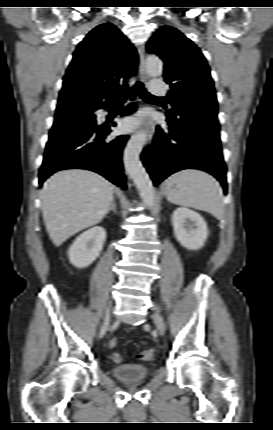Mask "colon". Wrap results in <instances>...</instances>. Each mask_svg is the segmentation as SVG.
Instances as JSON below:
<instances>
[{
    "instance_id": "5ec220e1",
    "label": "colon",
    "mask_w": 273,
    "mask_h": 430,
    "mask_svg": "<svg viewBox=\"0 0 273 430\" xmlns=\"http://www.w3.org/2000/svg\"><path fill=\"white\" fill-rule=\"evenodd\" d=\"M116 344H117V339H115V338H112L109 341V346L110 347H114ZM154 356H155V350L152 349V348H147V349L142 350L137 355V358L139 360H141V361H150V360H152L154 358ZM111 358L117 364H120L123 361L122 355L120 353H117V352L113 353L111 355Z\"/></svg>"
}]
</instances>
